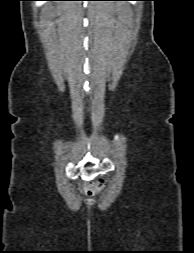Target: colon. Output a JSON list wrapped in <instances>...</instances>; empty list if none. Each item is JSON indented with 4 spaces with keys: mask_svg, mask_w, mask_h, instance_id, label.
I'll return each instance as SVG.
<instances>
[{
    "mask_svg": "<svg viewBox=\"0 0 194 253\" xmlns=\"http://www.w3.org/2000/svg\"><path fill=\"white\" fill-rule=\"evenodd\" d=\"M103 185L104 183L102 180L93 181L85 185V190L89 195H92L97 193L103 187Z\"/></svg>",
    "mask_w": 194,
    "mask_h": 253,
    "instance_id": "colon-1",
    "label": "colon"
}]
</instances>
